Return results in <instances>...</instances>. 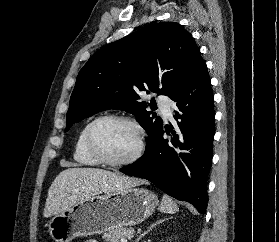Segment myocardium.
Wrapping results in <instances>:
<instances>
[{
    "mask_svg": "<svg viewBox=\"0 0 279 242\" xmlns=\"http://www.w3.org/2000/svg\"><path fill=\"white\" fill-rule=\"evenodd\" d=\"M107 121L123 122L131 125L135 129L137 133V147L129 157L122 160H112L108 158L98 147L96 142V136H95L96 130L100 124ZM144 145H145V133L143 127L136 119L126 115L109 114V115L100 116L91 122L87 131V147L89 152L100 163L112 167L127 166L136 162L143 153Z\"/></svg>",
    "mask_w": 279,
    "mask_h": 242,
    "instance_id": "obj_1",
    "label": "myocardium"
}]
</instances>
